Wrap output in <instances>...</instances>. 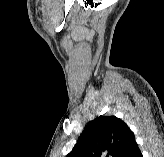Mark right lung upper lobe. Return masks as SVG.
<instances>
[{"label": "right lung upper lobe", "mask_w": 164, "mask_h": 157, "mask_svg": "<svg viewBox=\"0 0 164 157\" xmlns=\"http://www.w3.org/2000/svg\"><path fill=\"white\" fill-rule=\"evenodd\" d=\"M135 140L133 132L115 116L90 121L66 157H122Z\"/></svg>", "instance_id": "cb5924a9"}]
</instances>
